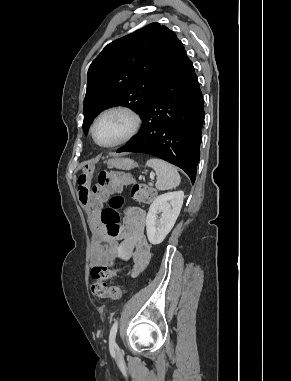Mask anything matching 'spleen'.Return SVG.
I'll return each instance as SVG.
<instances>
[{
	"mask_svg": "<svg viewBox=\"0 0 291 381\" xmlns=\"http://www.w3.org/2000/svg\"><path fill=\"white\" fill-rule=\"evenodd\" d=\"M147 165L154 169L157 174L155 185L158 190L164 191L173 189L180 184V175L177 169L170 163L161 159L151 158L147 161Z\"/></svg>",
	"mask_w": 291,
	"mask_h": 381,
	"instance_id": "obj_1",
	"label": "spleen"
}]
</instances>
